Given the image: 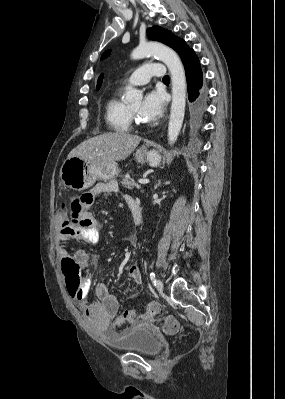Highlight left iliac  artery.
<instances>
[{"label": "left iliac artery", "mask_w": 285, "mask_h": 399, "mask_svg": "<svg viewBox=\"0 0 285 399\" xmlns=\"http://www.w3.org/2000/svg\"><path fill=\"white\" fill-rule=\"evenodd\" d=\"M150 279H151V281H152L153 283H155V285H156L157 279H156V276H155V273H154V272H151V273H150Z\"/></svg>", "instance_id": "1"}]
</instances>
